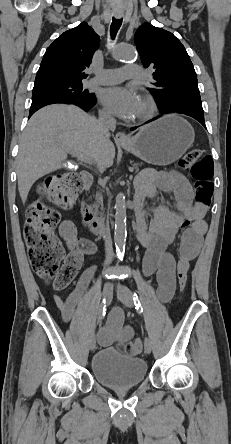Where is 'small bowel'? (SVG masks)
I'll return each mask as SVG.
<instances>
[{"label":"small bowel","mask_w":231,"mask_h":444,"mask_svg":"<svg viewBox=\"0 0 231 444\" xmlns=\"http://www.w3.org/2000/svg\"><path fill=\"white\" fill-rule=\"evenodd\" d=\"M136 205L142 207L145 200L156 196L157 190L171 192L174 198L173 208L159 205L151 213L150 223H147V211L139 212V222L136 226L138 239L144 248L142 257L143 270L146 275L156 274L157 295L163 302L169 301L175 291L176 273L187 272L190 263L198 255L202 237L206 231L204 217L207 206L193 203L192 189L189 181L176 171L153 172L141 174L136 180ZM190 226L186 231L179 260L167 250L173 242L178 230L184 225ZM70 251L83 254L92 253L94 246L78 238L77 228L73 222L65 220L59 229ZM93 271L86 270L80 277L75 289L64 299L55 296L54 302L60 309L65 322H70L75 310L86 291ZM133 338L130 327L124 326L122 312L114 310L107 325L98 333L102 346L123 343Z\"/></svg>","instance_id":"small-bowel-1"}]
</instances>
